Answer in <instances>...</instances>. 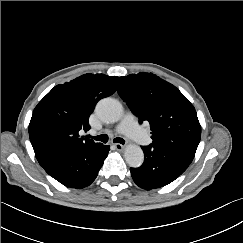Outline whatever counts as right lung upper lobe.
<instances>
[{"label": "right lung upper lobe", "instance_id": "right-lung-upper-lobe-1", "mask_svg": "<svg viewBox=\"0 0 243 243\" xmlns=\"http://www.w3.org/2000/svg\"><path fill=\"white\" fill-rule=\"evenodd\" d=\"M118 77L84 74L55 86L35 107L29 137L37 160L67 150H84L99 143L80 136L90 129L89 116L96 103L112 95Z\"/></svg>", "mask_w": 243, "mask_h": 243}]
</instances>
